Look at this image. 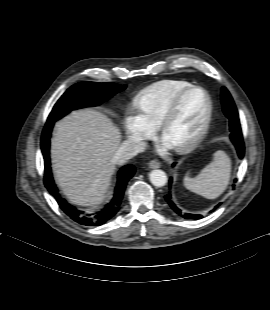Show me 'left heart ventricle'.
I'll list each match as a JSON object with an SVG mask.
<instances>
[{
	"mask_svg": "<svg viewBox=\"0 0 270 310\" xmlns=\"http://www.w3.org/2000/svg\"><path fill=\"white\" fill-rule=\"evenodd\" d=\"M206 110V99L199 93L189 94L167 127L163 141L172 147L194 135L199 129Z\"/></svg>",
	"mask_w": 270,
	"mask_h": 310,
	"instance_id": "b2bd125f",
	"label": "left heart ventricle"
}]
</instances>
